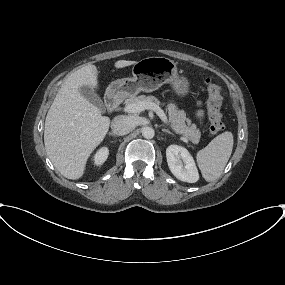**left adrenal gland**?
<instances>
[{
	"instance_id": "a2214340",
	"label": "left adrenal gland",
	"mask_w": 285,
	"mask_h": 285,
	"mask_svg": "<svg viewBox=\"0 0 285 285\" xmlns=\"http://www.w3.org/2000/svg\"><path fill=\"white\" fill-rule=\"evenodd\" d=\"M162 132L168 133V134L174 136V134L171 131H169L168 129H162Z\"/></svg>"
}]
</instances>
